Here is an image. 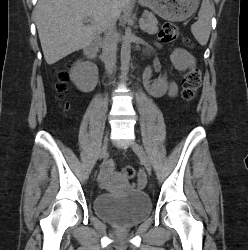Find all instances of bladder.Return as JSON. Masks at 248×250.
Instances as JSON below:
<instances>
[{"label": "bladder", "instance_id": "1", "mask_svg": "<svg viewBox=\"0 0 248 250\" xmlns=\"http://www.w3.org/2000/svg\"><path fill=\"white\" fill-rule=\"evenodd\" d=\"M95 213L119 227H131L147 218L152 210L150 198L138 190L124 195L103 193L94 200Z\"/></svg>", "mask_w": 248, "mask_h": 250}]
</instances>
